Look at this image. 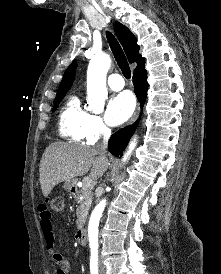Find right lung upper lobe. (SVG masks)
I'll list each match as a JSON object with an SVG mask.
<instances>
[{"label": "right lung upper lobe", "mask_w": 221, "mask_h": 274, "mask_svg": "<svg viewBox=\"0 0 221 274\" xmlns=\"http://www.w3.org/2000/svg\"><path fill=\"white\" fill-rule=\"evenodd\" d=\"M114 31L125 50L129 62L137 63V67L135 68L134 73L144 69L145 59L139 54V46L137 45V40L135 36L130 32L127 27L119 22H115ZM76 67L77 62L73 61V63L68 67L63 76V79L57 91V95L66 94L67 91L70 89L74 80Z\"/></svg>", "instance_id": "1"}]
</instances>
